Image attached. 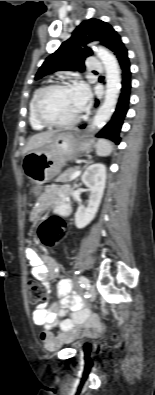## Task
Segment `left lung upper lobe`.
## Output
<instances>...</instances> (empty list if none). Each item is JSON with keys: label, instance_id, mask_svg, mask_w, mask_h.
I'll list each match as a JSON object with an SVG mask.
<instances>
[{"label": "left lung upper lobe", "instance_id": "left-lung-upper-lobe-1", "mask_svg": "<svg viewBox=\"0 0 155 395\" xmlns=\"http://www.w3.org/2000/svg\"><path fill=\"white\" fill-rule=\"evenodd\" d=\"M94 41H100L102 45L112 50L118 61L127 55V49L113 27L106 22L91 18L77 26L72 36L45 60L35 78L39 79L55 71L84 70V60L93 53L86 45Z\"/></svg>", "mask_w": 155, "mask_h": 395}]
</instances>
